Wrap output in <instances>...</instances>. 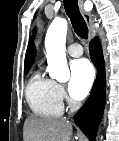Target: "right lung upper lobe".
Listing matches in <instances>:
<instances>
[{"label": "right lung upper lobe", "mask_w": 119, "mask_h": 141, "mask_svg": "<svg viewBox=\"0 0 119 141\" xmlns=\"http://www.w3.org/2000/svg\"><path fill=\"white\" fill-rule=\"evenodd\" d=\"M35 48L32 44H29L27 52H26V57H25V66H24V70L28 71L33 60H34V56H35Z\"/></svg>", "instance_id": "obj_1"}]
</instances>
